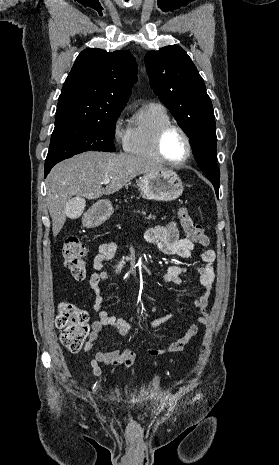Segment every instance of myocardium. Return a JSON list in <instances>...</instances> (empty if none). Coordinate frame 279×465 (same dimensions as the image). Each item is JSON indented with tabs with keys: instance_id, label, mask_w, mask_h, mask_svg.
<instances>
[{
	"instance_id": "f54148a6",
	"label": "myocardium",
	"mask_w": 279,
	"mask_h": 465,
	"mask_svg": "<svg viewBox=\"0 0 279 465\" xmlns=\"http://www.w3.org/2000/svg\"><path fill=\"white\" fill-rule=\"evenodd\" d=\"M170 130L179 131L182 134L183 138L185 139V142L187 145V153L185 157L178 161H173V160L168 159L163 151L164 137ZM155 149H156L158 156L161 158V160L172 166H180V165L185 164L190 159L192 155V151H193L192 142H191V139L188 133L183 127L175 123L166 124L159 129L156 135V138H155Z\"/></svg>"
}]
</instances>
